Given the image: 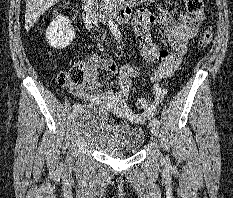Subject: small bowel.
Returning a JSON list of instances; mask_svg holds the SVG:
<instances>
[{"mask_svg":"<svg viewBox=\"0 0 233 198\" xmlns=\"http://www.w3.org/2000/svg\"><path fill=\"white\" fill-rule=\"evenodd\" d=\"M154 25L164 26V35L168 49L159 48L151 39L150 28ZM200 23L190 12L180 11L174 15L170 11L153 13L147 9L137 11L133 27L139 42L142 57L156 63L151 80L158 81L170 77L179 67L187 51L188 41L196 34ZM85 81L74 88V94L81 100L113 108L119 115L130 120L141 121L144 115L138 116L131 112L126 100L133 86L131 77H137V71L131 66L120 69L114 62L98 55L88 57L83 65ZM102 69L114 76L117 89L104 88L98 81V70Z\"/></svg>","mask_w":233,"mask_h":198,"instance_id":"1","label":"small bowel"}]
</instances>
